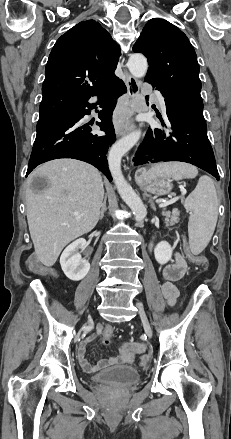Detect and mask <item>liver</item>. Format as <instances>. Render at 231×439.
I'll return each mask as SVG.
<instances>
[{
	"label": "liver",
	"mask_w": 231,
	"mask_h": 439,
	"mask_svg": "<svg viewBox=\"0 0 231 439\" xmlns=\"http://www.w3.org/2000/svg\"><path fill=\"white\" fill-rule=\"evenodd\" d=\"M38 176L49 182L41 193L31 188ZM103 196L100 172L79 160H52L31 173L25 196L27 221L35 254L44 266H53L68 243L96 226Z\"/></svg>",
	"instance_id": "obj_1"
}]
</instances>
